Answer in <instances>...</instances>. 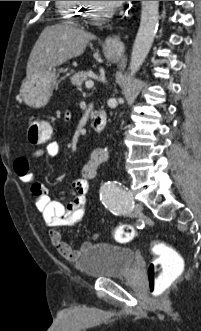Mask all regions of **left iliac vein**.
<instances>
[{
    "label": "left iliac vein",
    "mask_w": 201,
    "mask_h": 331,
    "mask_svg": "<svg viewBox=\"0 0 201 331\" xmlns=\"http://www.w3.org/2000/svg\"><path fill=\"white\" fill-rule=\"evenodd\" d=\"M142 211V205L141 203H136L133 207V213L139 214Z\"/></svg>",
    "instance_id": "left-iliac-vein-1"
}]
</instances>
